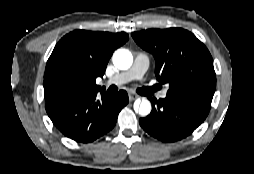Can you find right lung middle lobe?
<instances>
[{
    "label": "right lung middle lobe",
    "instance_id": "dd1d6c3e",
    "mask_svg": "<svg viewBox=\"0 0 254 174\" xmlns=\"http://www.w3.org/2000/svg\"><path fill=\"white\" fill-rule=\"evenodd\" d=\"M89 90L82 82L72 78H61L49 89L47 98H60Z\"/></svg>",
    "mask_w": 254,
    "mask_h": 174
}]
</instances>
